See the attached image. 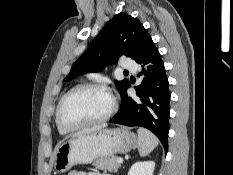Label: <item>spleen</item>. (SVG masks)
<instances>
[{
    "mask_svg": "<svg viewBox=\"0 0 233 175\" xmlns=\"http://www.w3.org/2000/svg\"><path fill=\"white\" fill-rule=\"evenodd\" d=\"M137 133L139 155L141 157L147 156L158 146V139L152 132L145 128H139Z\"/></svg>",
    "mask_w": 233,
    "mask_h": 175,
    "instance_id": "3e777b00",
    "label": "spleen"
}]
</instances>
